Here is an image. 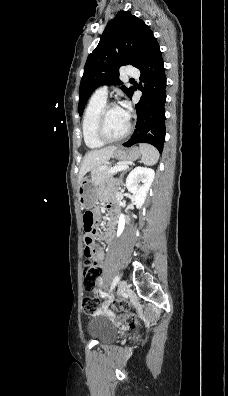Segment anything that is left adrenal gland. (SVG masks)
Segmentation results:
<instances>
[{
  "label": "left adrenal gland",
  "mask_w": 228,
  "mask_h": 396,
  "mask_svg": "<svg viewBox=\"0 0 228 396\" xmlns=\"http://www.w3.org/2000/svg\"><path fill=\"white\" fill-rule=\"evenodd\" d=\"M128 170H129V169H128ZM126 172H127V170H124V171L120 174V176H119L118 184H119L120 186H123V176L125 175Z\"/></svg>",
  "instance_id": "a2214340"
}]
</instances>
